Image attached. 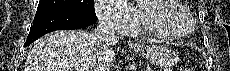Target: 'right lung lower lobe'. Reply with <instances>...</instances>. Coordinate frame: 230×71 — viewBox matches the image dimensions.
Returning a JSON list of instances; mask_svg holds the SVG:
<instances>
[{
  "label": "right lung lower lobe",
  "mask_w": 230,
  "mask_h": 71,
  "mask_svg": "<svg viewBox=\"0 0 230 71\" xmlns=\"http://www.w3.org/2000/svg\"><path fill=\"white\" fill-rule=\"evenodd\" d=\"M96 20L97 17L72 11H48L36 14L24 46H28L46 33L84 28Z\"/></svg>",
  "instance_id": "1"
}]
</instances>
